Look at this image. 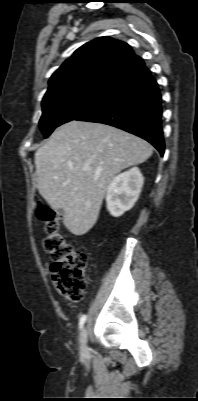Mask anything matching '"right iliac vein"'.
I'll use <instances>...</instances> for the list:
<instances>
[{
	"label": "right iliac vein",
	"mask_w": 198,
	"mask_h": 401,
	"mask_svg": "<svg viewBox=\"0 0 198 401\" xmlns=\"http://www.w3.org/2000/svg\"><path fill=\"white\" fill-rule=\"evenodd\" d=\"M80 343H81V354L82 356H86L88 349H87V330L85 327L81 330L80 333Z\"/></svg>",
	"instance_id": "obj_1"
}]
</instances>
